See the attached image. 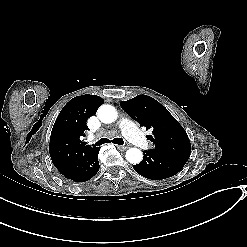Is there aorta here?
<instances>
[{
  "mask_svg": "<svg viewBox=\"0 0 247 247\" xmlns=\"http://www.w3.org/2000/svg\"><path fill=\"white\" fill-rule=\"evenodd\" d=\"M98 118L103 123H112L117 118V111L112 105H102L97 110ZM126 160L131 164H139L142 161L143 154L138 148H130L126 151Z\"/></svg>",
  "mask_w": 247,
  "mask_h": 247,
  "instance_id": "762f6f07",
  "label": "aorta"
}]
</instances>
